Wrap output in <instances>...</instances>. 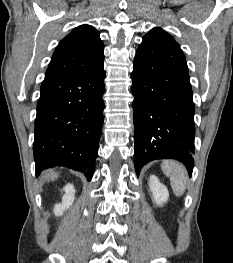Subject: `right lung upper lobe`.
<instances>
[{"label": "right lung upper lobe", "instance_id": "obj_1", "mask_svg": "<svg viewBox=\"0 0 233 263\" xmlns=\"http://www.w3.org/2000/svg\"><path fill=\"white\" fill-rule=\"evenodd\" d=\"M99 32L90 25L76 27L56 47L45 78L87 75L104 59Z\"/></svg>", "mask_w": 233, "mask_h": 263}]
</instances>
